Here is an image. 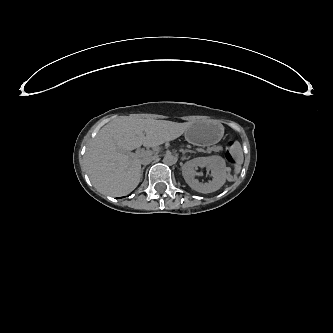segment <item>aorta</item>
<instances>
[{
    "label": "aorta",
    "mask_w": 333,
    "mask_h": 333,
    "mask_svg": "<svg viewBox=\"0 0 333 333\" xmlns=\"http://www.w3.org/2000/svg\"><path fill=\"white\" fill-rule=\"evenodd\" d=\"M177 162V158L172 153H167L163 158V163L172 166Z\"/></svg>",
    "instance_id": "1"
}]
</instances>
